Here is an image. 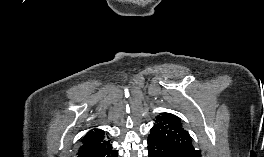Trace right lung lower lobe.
Segmentation results:
<instances>
[{
    "instance_id": "right-lung-lower-lobe-1",
    "label": "right lung lower lobe",
    "mask_w": 264,
    "mask_h": 157,
    "mask_svg": "<svg viewBox=\"0 0 264 157\" xmlns=\"http://www.w3.org/2000/svg\"><path fill=\"white\" fill-rule=\"evenodd\" d=\"M77 157H118V150H114L109 141H102L86 149L80 150Z\"/></svg>"
}]
</instances>
